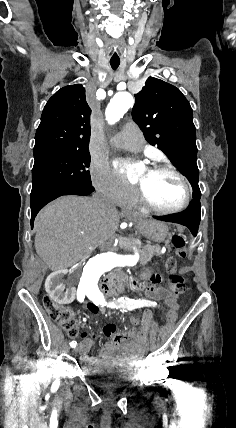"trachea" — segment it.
Returning a JSON list of instances; mask_svg holds the SVG:
<instances>
[{
  "label": "trachea",
  "mask_w": 236,
  "mask_h": 428,
  "mask_svg": "<svg viewBox=\"0 0 236 428\" xmlns=\"http://www.w3.org/2000/svg\"><path fill=\"white\" fill-rule=\"evenodd\" d=\"M108 63L111 65L113 70H116L121 63V52L120 51H109Z\"/></svg>",
  "instance_id": "1"
}]
</instances>
